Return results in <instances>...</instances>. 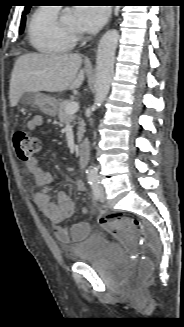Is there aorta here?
<instances>
[{
  "mask_svg": "<svg viewBox=\"0 0 184 327\" xmlns=\"http://www.w3.org/2000/svg\"><path fill=\"white\" fill-rule=\"evenodd\" d=\"M119 40V33L112 29L107 31L100 39L96 55V80H95V98L94 104L100 107L105 101L112 78L114 75L115 51ZM89 178H97L98 172L95 167L87 169Z\"/></svg>",
  "mask_w": 184,
  "mask_h": 327,
  "instance_id": "762f6f07",
  "label": "aorta"
}]
</instances>
